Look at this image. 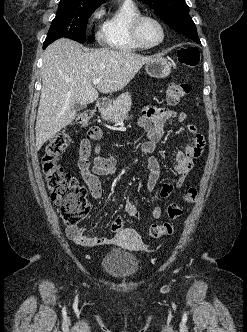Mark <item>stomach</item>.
I'll use <instances>...</instances> for the list:
<instances>
[{
	"label": "stomach",
	"mask_w": 247,
	"mask_h": 332,
	"mask_svg": "<svg viewBox=\"0 0 247 332\" xmlns=\"http://www.w3.org/2000/svg\"><path fill=\"white\" fill-rule=\"evenodd\" d=\"M145 70L151 77L163 79L171 73V62L163 57H154L146 64Z\"/></svg>",
	"instance_id": "obj_1"
}]
</instances>
